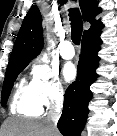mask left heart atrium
Returning a JSON list of instances; mask_svg holds the SVG:
<instances>
[{
	"instance_id": "left-heart-atrium-1",
	"label": "left heart atrium",
	"mask_w": 117,
	"mask_h": 136,
	"mask_svg": "<svg viewBox=\"0 0 117 136\" xmlns=\"http://www.w3.org/2000/svg\"><path fill=\"white\" fill-rule=\"evenodd\" d=\"M64 77L67 81H71L76 76V68L73 64H66L63 70Z\"/></svg>"
}]
</instances>
